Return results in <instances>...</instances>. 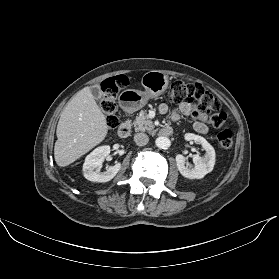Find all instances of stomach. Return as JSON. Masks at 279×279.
Listing matches in <instances>:
<instances>
[{"label": "stomach", "instance_id": "1", "mask_svg": "<svg viewBox=\"0 0 279 279\" xmlns=\"http://www.w3.org/2000/svg\"><path fill=\"white\" fill-rule=\"evenodd\" d=\"M141 84L144 91L128 89L119 96L121 108L133 113L141 109L150 99L160 96L168 87V76L161 71L153 70L143 75Z\"/></svg>", "mask_w": 279, "mask_h": 279}]
</instances>
